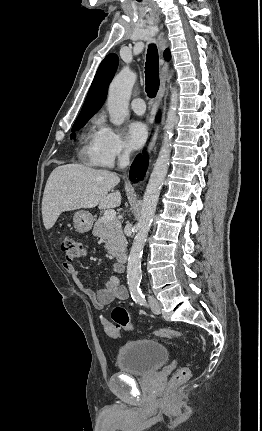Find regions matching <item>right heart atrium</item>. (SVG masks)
Listing matches in <instances>:
<instances>
[{"label": "right heart atrium", "instance_id": "obj_1", "mask_svg": "<svg viewBox=\"0 0 262 431\" xmlns=\"http://www.w3.org/2000/svg\"><path fill=\"white\" fill-rule=\"evenodd\" d=\"M98 163L110 166L116 160L126 159L130 150L120 134L105 122L99 124V135L96 142Z\"/></svg>", "mask_w": 262, "mask_h": 431}]
</instances>
